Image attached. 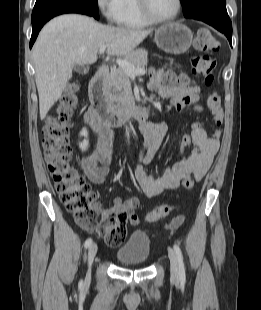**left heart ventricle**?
I'll list each match as a JSON object with an SVG mask.
<instances>
[{
  "label": "left heart ventricle",
  "instance_id": "obj_1",
  "mask_svg": "<svg viewBox=\"0 0 261 310\" xmlns=\"http://www.w3.org/2000/svg\"><path fill=\"white\" fill-rule=\"evenodd\" d=\"M149 9L156 18L171 16L177 7L176 0H148Z\"/></svg>",
  "mask_w": 261,
  "mask_h": 310
}]
</instances>
